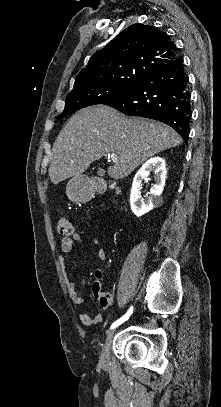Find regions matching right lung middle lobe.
I'll use <instances>...</instances> for the list:
<instances>
[{
	"instance_id": "dd1d6c3e",
	"label": "right lung middle lobe",
	"mask_w": 221,
	"mask_h": 407,
	"mask_svg": "<svg viewBox=\"0 0 221 407\" xmlns=\"http://www.w3.org/2000/svg\"><path fill=\"white\" fill-rule=\"evenodd\" d=\"M134 86L135 85L98 84L72 91L65 100V108L62 114L57 118L65 117L87 106L104 104L107 101L124 95Z\"/></svg>"
}]
</instances>
